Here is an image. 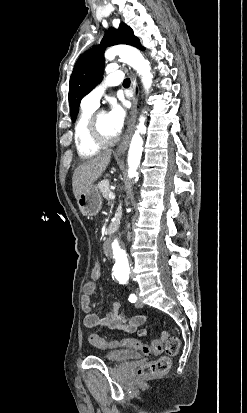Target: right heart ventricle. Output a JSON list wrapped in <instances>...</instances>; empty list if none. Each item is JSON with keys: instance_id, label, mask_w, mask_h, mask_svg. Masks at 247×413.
<instances>
[{"instance_id": "obj_1", "label": "right heart ventricle", "mask_w": 247, "mask_h": 413, "mask_svg": "<svg viewBox=\"0 0 247 413\" xmlns=\"http://www.w3.org/2000/svg\"><path fill=\"white\" fill-rule=\"evenodd\" d=\"M93 108H89V111L83 112L75 127V144L77 152L82 159H89L98 155L102 147L93 142L90 137V124H91V112Z\"/></svg>"}]
</instances>
